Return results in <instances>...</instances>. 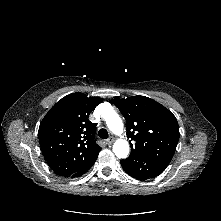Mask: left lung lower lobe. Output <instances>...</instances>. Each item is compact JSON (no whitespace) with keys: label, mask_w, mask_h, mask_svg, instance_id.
Returning <instances> with one entry per match:
<instances>
[{"label":"left lung lower lobe","mask_w":221,"mask_h":221,"mask_svg":"<svg viewBox=\"0 0 221 221\" xmlns=\"http://www.w3.org/2000/svg\"><path fill=\"white\" fill-rule=\"evenodd\" d=\"M120 162L127 174L140 180L154 178L168 166V163L160 161H142L134 158H127Z\"/></svg>","instance_id":"1"}]
</instances>
